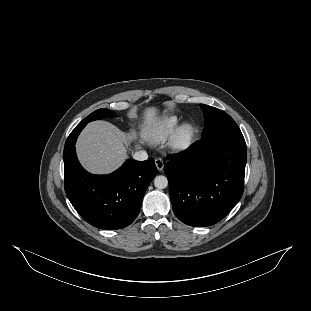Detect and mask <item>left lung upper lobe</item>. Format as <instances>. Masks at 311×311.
Here are the masks:
<instances>
[{"label":"left lung upper lobe","instance_id":"left-lung-upper-lobe-1","mask_svg":"<svg viewBox=\"0 0 311 311\" xmlns=\"http://www.w3.org/2000/svg\"><path fill=\"white\" fill-rule=\"evenodd\" d=\"M200 106L204 113L205 121L202 136L221 128H238L235 121L224 111L204 104Z\"/></svg>","mask_w":311,"mask_h":311}]
</instances>
